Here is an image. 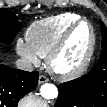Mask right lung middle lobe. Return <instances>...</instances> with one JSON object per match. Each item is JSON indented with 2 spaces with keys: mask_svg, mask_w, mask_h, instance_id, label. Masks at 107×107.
Listing matches in <instances>:
<instances>
[{
  "mask_svg": "<svg viewBox=\"0 0 107 107\" xmlns=\"http://www.w3.org/2000/svg\"><path fill=\"white\" fill-rule=\"evenodd\" d=\"M22 23L18 17L6 8L0 9V41L10 44L17 32L21 29Z\"/></svg>",
  "mask_w": 107,
  "mask_h": 107,
  "instance_id": "1",
  "label": "right lung middle lobe"
}]
</instances>
